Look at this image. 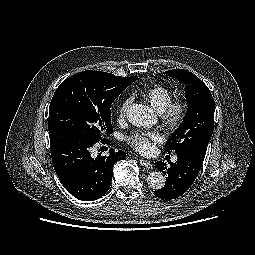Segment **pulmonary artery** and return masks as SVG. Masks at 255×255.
I'll list each match as a JSON object with an SVG mask.
<instances>
[{
	"mask_svg": "<svg viewBox=\"0 0 255 255\" xmlns=\"http://www.w3.org/2000/svg\"><path fill=\"white\" fill-rule=\"evenodd\" d=\"M172 161H173V162H176V161H177V157L174 156V157L172 158Z\"/></svg>",
	"mask_w": 255,
	"mask_h": 255,
	"instance_id": "pulmonary-artery-1",
	"label": "pulmonary artery"
}]
</instances>
